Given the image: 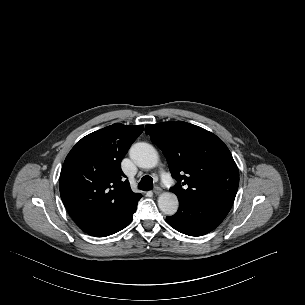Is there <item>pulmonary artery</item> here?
Wrapping results in <instances>:
<instances>
[{
	"instance_id": "pulmonary-artery-1",
	"label": "pulmonary artery",
	"mask_w": 305,
	"mask_h": 305,
	"mask_svg": "<svg viewBox=\"0 0 305 305\" xmlns=\"http://www.w3.org/2000/svg\"><path fill=\"white\" fill-rule=\"evenodd\" d=\"M161 179H162L163 183L168 185V186L172 185V183H173L172 177L167 172L162 173Z\"/></svg>"
}]
</instances>
